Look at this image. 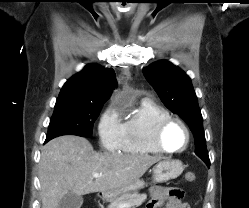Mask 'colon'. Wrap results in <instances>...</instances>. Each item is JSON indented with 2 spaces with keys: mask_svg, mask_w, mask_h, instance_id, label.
<instances>
[{
  "mask_svg": "<svg viewBox=\"0 0 249 208\" xmlns=\"http://www.w3.org/2000/svg\"><path fill=\"white\" fill-rule=\"evenodd\" d=\"M185 179L187 182H194L195 179H196V176L194 173H188L186 176H185Z\"/></svg>",
  "mask_w": 249,
  "mask_h": 208,
  "instance_id": "obj_1",
  "label": "colon"
}]
</instances>
